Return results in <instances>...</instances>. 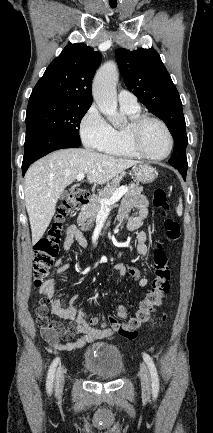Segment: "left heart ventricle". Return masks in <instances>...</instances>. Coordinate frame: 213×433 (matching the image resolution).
<instances>
[{
    "label": "left heart ventricle",
    "mask_w": 213,
    "mask_h": 433,
    "mask_svg": "<svg viewBox=\"0 0 213 433\" xmlns=\"http://www.w3.org/2000/svg\"><path fill=\"white\" fill-rule=\"evenodd\" d=\"M141 144L146 152L162 156L169 149V139L164 129L155 122H148L141 131Z\"/></svg>",
    "instance_id": "obj_1"
}]
</instances>
